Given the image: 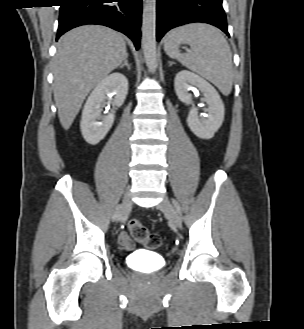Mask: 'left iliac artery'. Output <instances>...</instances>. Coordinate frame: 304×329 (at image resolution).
Masks as SVG:
<instances>
[{
	"mask_svg": "<svg viewBox=\"0 0 304 329\" xmlns=\"http://www.w3.org/2000/svg\"><path fill=\"white\" fill-rule=\"evenodd\" d=\"M172 202H173L174 206L176 207L177 211L179 213H181V208H180L179 203L175 199H172Z\"/></svg>",
	"mask_w": 304,
	"mask_h": 329,
	"instance_id": "obj_1",
	"label": "left iliac artery"
}]
</instances>
